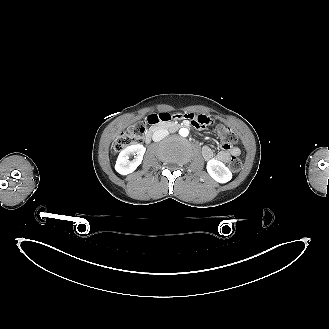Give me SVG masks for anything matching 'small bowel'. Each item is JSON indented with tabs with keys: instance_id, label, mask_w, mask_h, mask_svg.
<instances>
[{
	"instance_id": "small-bowel-1",
	"label": "small bowel",
	"mask_w": 329,
	"mask_h": 329,
	"mask_svg": "<svg viewBox=\"0 0 329 329\" xmlns=\"http://www.w3.org/2000/svg\"><path fill=\"white\" fill-rule=\"evenodd\" d=\"M164 118H172L174 122H180L193 124L197 128H203L205 132H211L214 128L218 126L216 121L211 122L209 118L205 115H192L191 113H164ZM203 156L206 159L214 158V152L210 147H204L202 150ZM240 155V149L238 147H224L221 151L216 154V159L221 162H228L231 157H236Z\"/></svg>"
}]
</instances>
